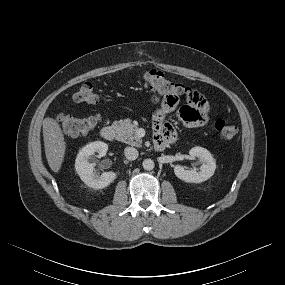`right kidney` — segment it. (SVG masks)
Instances as JSON below:
<instances>
[{"instance_id": "obj_1", "label": "right kidney", "mask_w": 285, "mask_h": 285, "mask_svg": "<svg viewBox=\"0 0 285 285\" xmlns=\"http://www.w3.org/2000/svg\"><path fill=\"white\" fill-rule=\"evenodd\" d=\"M108 145L101 141H95L84 146L77 154L75 160V169L81 180L89 187L94 189H103L109 186L117 177L115 172H104L97 175L94 172V166L89 162L94 153L99 157L106 155Z\"/></svg>"}]
</instances>
